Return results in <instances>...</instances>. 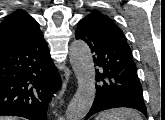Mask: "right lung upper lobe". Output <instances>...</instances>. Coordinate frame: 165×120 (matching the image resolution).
I'll return each instance as SVG.
<instances>
[{"label": "right lung upper lobe", "instance_id": "obj_1", "mask_svg": "<svg viewBox=\"0 0 165 120\" xmlns=\"http://www.w3.org/2000/svg\"><path fill=\"white\" fill-rule=\"evenodd\" d=\"M41 35L35 19L24 11H15L0 24V50Z\"/></svg>", "mask_w": 165, "mask_h": 120}]
</instances>
